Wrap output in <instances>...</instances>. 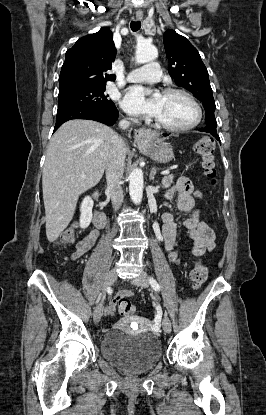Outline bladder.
<instances>
[{
    "label": "bladder",
    "mask_w": 266,
    "mask_h": 415,
    "mask_svg": "<svg viewBox=\"0 0 266 415\" xmlns=\"http://www.w3.org/2000/svg\"><path fill=\"white\" fill-rule=\"evenodd\" d=\"M101 353L109 362L130 374L153 368L162 356L159 339L152 333L129 335L111 329L101 340Z\"/></svg>",
    "instance_id": "bladder-1"
}]
</instances>
